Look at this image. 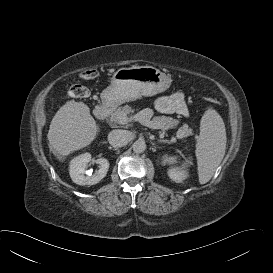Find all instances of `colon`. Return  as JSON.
Wrapping results in <instances>:
<instances>
[{
  "label": "colon",
  "instance_id": "colon-1",
  "mask_svg": "<svg viewBox=\"0 0 273 273\" xmlns=\"http://www.w3.org/2000/svg\"><path fill=\"white\" fill-rule=\"evenodd\" d=\"M96 76H97L96 69H88L81 73V77L83 79H93ZM70 93L74 97L83 98L88 96L89 90L82 83H74L70 87Z\"/></svg>",
  "mask_w": 273,
  "mask_h": 273
}]
</instances>
